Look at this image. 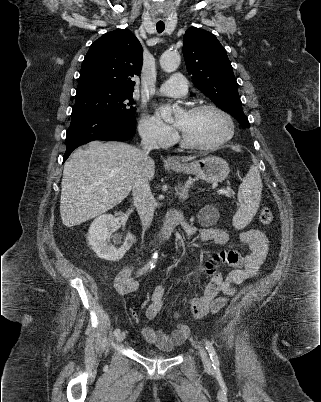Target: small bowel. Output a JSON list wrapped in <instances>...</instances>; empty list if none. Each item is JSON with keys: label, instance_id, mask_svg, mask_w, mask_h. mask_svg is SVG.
Segmentation results:
<instances>
[{"label": "small bowel", "instance_id": "obj_1", "mask_svg": "<svg viewBox=\"0 0 321 402\" xmlns=\"http://www.w3.org/2000/svg\"><path fill=\"white\" fill-rule=\"evenodd\" d=\"M184 229L189 236L196 237L201 242H213L222 248L192 272V278L205 275L208 278V283L202 298L188 300V307L195 317H201L205 314H195L196 306L203 300H211L208 311L216 313L225 306L228 298L235 293L236 285L257 276L267 256V237L258 229L242 231L239 239L251 250L249 255L243 256L233 249L225 248L229 235L224 229L197 228L190 224H186ZM223 265L231 268L225 277L220 273V267ZM115 284L117 291L122 295L133 293L139 286L138 281L132 276L130 267H125L120 271L116 277ZM220 292L224 296L216 298ZM164 295L165 288L162 285L154 286L150 303L146 309L147 318L155 319L160 314L164 307ZM180 317L178 312H173L176 324L170 334L157 331L150 326H144L141 329L142 337L146 342L154 344L161 349H172L174 345L184 342L190 334V328L179 321Z\"/></svg>", "mask_w": 321, "mask_h": 402}]
</instances>
